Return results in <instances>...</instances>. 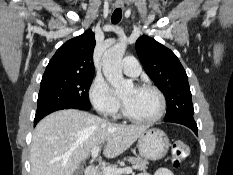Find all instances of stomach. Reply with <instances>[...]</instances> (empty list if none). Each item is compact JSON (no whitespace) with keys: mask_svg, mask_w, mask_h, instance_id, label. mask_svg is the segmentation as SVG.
Here are the masks:
<instances>
[{"mask_svg":"<svg viewBox=\"0 0 233 175\" xmlns=\"http://www.w3.org/2000/svg\"><path fill=\"white\" fill-rule=\"evenodd\" d=\"M140 155L149 160H160L168 152L169 139L167 135L158 128L146 129L138 139Z\"/></svg>","mask_w":233,"mask_h":175,"instance_id":"0dacf381","label":"stomach"}]
</instances>
